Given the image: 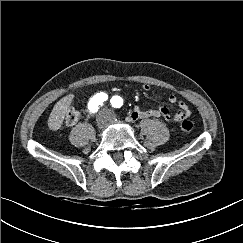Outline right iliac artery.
Masks as SVG:
<instances>
[{
    "label": "right iliac artery",
    "instance_id": "1",
    "mask_svg": "<svg viewBox=\"0 0 243 243\" xmlns=\"http://www.w3.org/2000/svg\"><path fill=\"white\" fill-rule=\"evenodd\" d=\"M108 99V96L107 94L103 93V92H100V93H97L96 95H94L89 103H88V109H89V112L90 113H95L98 111L99 109V106L102 105V103L104 101H106Z\"/></svg>",
    "mask_w": 243,
    "mask_h": 243
}]
</instances>
